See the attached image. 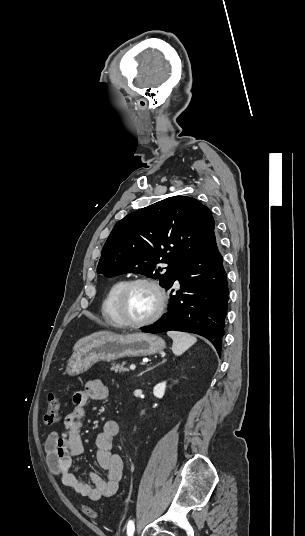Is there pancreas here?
Wrapping results in <instances>:
<instances>
[{
	"instance_id": "1",
	"label": "pancreas",
	"mask_w": 305,
	"mask_h": 536,
	"mask_svg": "<svg viewBox=\"0 0 305 536\" xmlns=\"http://www.w3.org/2000/svg\"><path fill=\"white\" fill-rule=\"evenodd\" d=\"M127 362H122V364H113L111 370H114V372H129L128 368H125Z\"/></svg>"
}]
</instances>
